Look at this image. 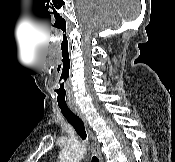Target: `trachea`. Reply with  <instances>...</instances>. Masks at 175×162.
Segmentation results:
<instances>
[{
  "label": "trachea",
  "instance_id": "obj_1",
  "mask_svg": "<svg viewBox=\"0 0 175 162\" xmlns=\"http://www.w3.org/2000/svg\"><path fill=\"white\" fill-rule=\"evenodd\" d=\"M60 110L66 120L73 126L77 134L83 139L86 140L87 134L81 118L73 113L68 107H60ZM92 162H99L96 156L92 157Z\"/></svg>",
  "mask_w": 175,
  "mask_h": 162
}]
</instances>
